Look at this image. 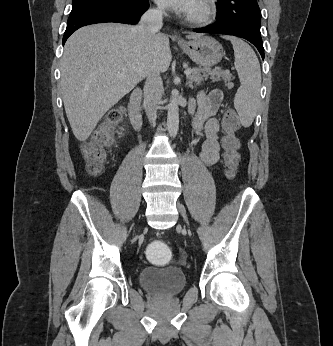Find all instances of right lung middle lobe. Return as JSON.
I'll use <instances>...</instances> for the list:
<instances>
[{
	"label": "right lung middle lobe",
	"instance_id": "1",
	"mask_svg": "<svg viewBox=\"0 0 333 346\" xmlns=\"http://www.w3.org/2000/svg\"><path fill=\"white\" fill-rule=\"evenodd\" d=\"M136 1L137 0H72V11L70 14H73L81 9L95 6H115L121 9H127Z\"/></svg>",
	"mask_w": 333,
	"mask_h": 346
}]
</instances>
